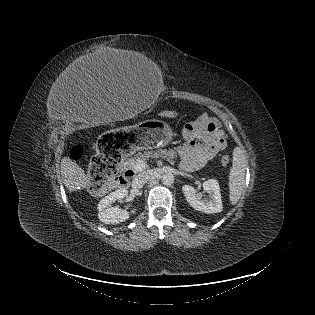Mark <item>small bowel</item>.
<instances>
[{
  "label": "small bowel",
  "mask_w": 315,
  "mask_h": 315,
  "mask_svg": "<svg viewBox=\"0 0 315 315\" xmlns=\"http://www.w3.org/2000/svg\"><path fill=\"white\" fill-rule=\"evenodd\" d=\"M182 137L183 142L175 153L187 171L201 168L226 147L218 121L206 112L184 126Z\"/></svg>",
  "instance_id": "small-bowel-1"
}]
</instances>
